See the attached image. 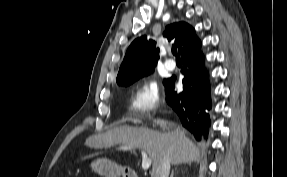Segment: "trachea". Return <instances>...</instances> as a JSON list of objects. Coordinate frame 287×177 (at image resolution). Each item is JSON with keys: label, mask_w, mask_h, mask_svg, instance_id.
Wrapping results in <instances>:
<instances>
[{"label": "trachea", "mask_w": 287, "mask_h": 177, "mask_svg": "<svg viewBox=\"0 0 287 177\" xmlns=\"http://www.w3.org/2000/svg\"><path fill=\"white\" fill-rule=\"evenodd\" d=\"M172 53L176 56V61H180V57L177 54V48L175 46L172 47Z\"/></svg>", "instance_id": "obj_1"}]
</instances>
